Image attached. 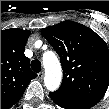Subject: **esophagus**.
<instances>
[{"label":"esophagus","mask_w":109,"mask_h":109,"mask_svg":"<svg viewBox=\"0 0 109 109\" xmlns=\"http://www.w3.org/2000/svg\"><path fill=\"white\" fill-rule=\"evenodd\" d=\"M37 76H38L39 79L42 80L43 77H44V72H43V71L39 72V73L37 74Z\"/></svg>","instance_id":"1"}]
</instances>
